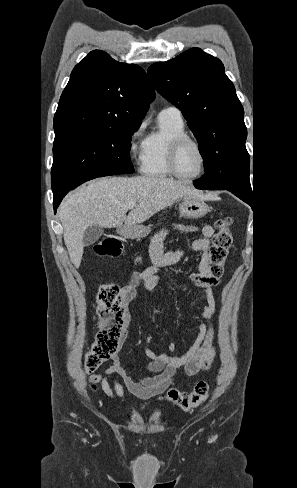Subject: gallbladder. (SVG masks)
Segmentation results:
<instances>
[{"label": "gallbladder", "instance_id": "1", "mask_svg": "<svg viewBox=\"0 0 297 488\" xmlns=\"http://www.w3.org/2000/svg\"><path fill=\"white\" fill-rule=\"evenodd\" d=\"M103 234V228L98 225L89 226L83 235V243L85 246L92 245L98 241Z\"/></svg>", "mask_w": 297, "mask_h": 488}]
</instances>
